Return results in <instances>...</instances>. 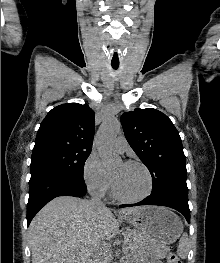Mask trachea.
<instances>
[{
  "label": "trachea",
  "instance_id": "1",
  "mask_svg": "<svg viewBox=\"0 0 220 263\" xmlns=\"http://www.w3.org/2000/svg\"><path fill=\"white\" fill-rule=\"evenodd\" d=\"M118 67H119V65H114V64H112V68H113V69L116 70V69H118Z\"/></svg>",
  "mask_w": 220,
  "mask_h": 263
}]
</instances>
